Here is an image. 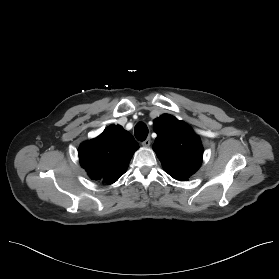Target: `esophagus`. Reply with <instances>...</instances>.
<instances>
[{"mask_svg":"<svg viewBox=\"0 0 279 279\" xmlns=\"http://www.w3.org/2000/svg\"><path fill=\"white\" fill-rule=\"evenodd\" d=\"M151 144V139L148 137L145 141L142 142V146L148 147Z\"/></svg>","mask_w":279,"mask_h":279,"instance_id":"esophagus-1","label":"esophagus"}]
</instances>
